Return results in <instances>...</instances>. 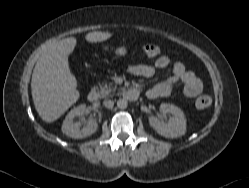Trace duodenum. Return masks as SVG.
Returning <instances> with one entry per match:
<instances>
[{
	"instance_id": "1",
	"label": "duodenum",
	"mask_w": 249,
	"mask_h": 188,
	"mask_svg": "<svg viewBox=\"0 0 249 188\" xmlns=\"http://www.w3.org/2000/svg\"><path fill=\"white\" fill-rule=\"evenodd\" d=\"M139 90L138 89H128L124 92L125 98L128 100H135L138 98ZM99 99V93L96 90H92L88 94V100L90 102H96Z\"/></svg>"
}]
</instances>
